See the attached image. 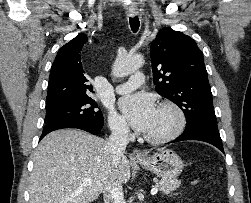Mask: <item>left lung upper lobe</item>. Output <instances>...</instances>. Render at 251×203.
Wrapping results in <instances>:
<instances>
[{
  "label": "left lung upper lobe",
  "mask_w": 251,
  "mask_h": 203,
  "mask_svg": "<svg viewBox=\"0 0 251 203\" xmlns=\"http://www.w3.org/2000/svg\"><path fill=\"white\" fill-rule=\"evenodd\" d=\"M150 54L156 91L182 109L185 131L199 127L218 130L203 53L195 41L164 28L151 44Z\"/></svg>",
  "instance_id": "obj_1"
}]
</instances>
